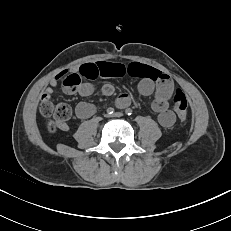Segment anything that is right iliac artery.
Listing matches in <instances>:
<instances>
[{"instance_id":"1","label":"right iliac artery","mask_w":231,"mask_h":231,"mask_svg":"<svg viewBox=\"0 0 231 231\" xmlns=\"http://www.w3.org/2000/svg\"><path fill=\"white\" fill-rule=\"evenodd\" d=\"M107 113H108V114L114 113V109H113V108H108V109H107Z\"/></svg>"}]
</instances>
